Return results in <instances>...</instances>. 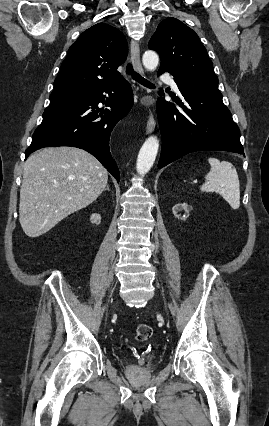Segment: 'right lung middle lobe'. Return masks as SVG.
<instances>
[{"instance_id":"right-lung-middle-lobe-1","label":"right lung middle lobe","mask_w":269,"mask_h":426,"mask_svg":"<svg viewBox=\"0 0 269 426\" xmlns=\"http://www.w3.org/2000/svg\"><path fill=\"white\" fill-rule=\"evenodd\" d=\"M83 95V92L77 91H60L52 92L50 95V104L45 109L44 113L55 111L61 108H64L68 105L74 104L80 99Z\"/></svg>"}]
</instances>
